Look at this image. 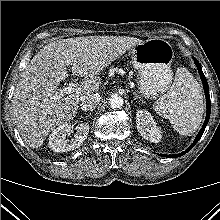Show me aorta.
Returning a JSON list of instances; mask_svg holds the SVG:
<instances>
[{"mask_svg": "<svg viewBox=\"0 0 220 220\" xmlns=\"http://www.w3.org/2000/svg\"><path fill=\"white\" fill-rule=\"evenodd\" d=\"M109 104H110L111 108L119 109L123 106L124 101L121 96H119L118 94H114L111 96V98L109 100Z\"/></svg>", "mask_w": 220, "mask_h": 220, "instance_id": "obj_1", "label": "aorta"}]
</instances>
